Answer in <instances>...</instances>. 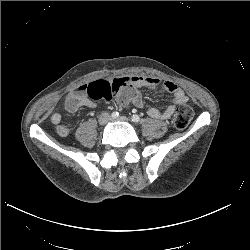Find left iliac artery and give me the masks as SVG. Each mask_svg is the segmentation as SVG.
Returning a JSON list of instances; mask_svg holds the SVG:
<instances>
[{
	"instance_id": "left-iliac-artery-1",
	"label": "left iliac artery",
	"mask_w": 250,
	"mask_h": 250,
	"mask_svg": "<svg viewBox=\"0 0 250 250\" xmlns=\"http://www.w3.org/2000/svg\"><path fill=\"white\" fill-rule=\"evenodd\" d=\"M132 121L133 122H139L140 121V117L137 114H133Z\"/></svg>"
}]
</instances>
